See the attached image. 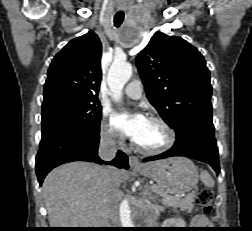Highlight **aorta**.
Here are the masks:
<instances>
[{
    "label": "aorta",
    "instance_id": "aorta-1",
    "mask_svg": "<svg viewBox=\"0 0 252 231\" xmlns=\"http://www.w3.org/2000/svg\"><path fill=\"white\" fill-rule=\"evenodd\" d=\"M132 65L125 61L115 60L108 72V86L115 101H120L122 89L132 76ZM120 220L124 228H134V223L130 213L128 200H123L120 204Z\"/></svg>",
    "mask_w": 252,
    "mask_h": 231
}]
</instances>
